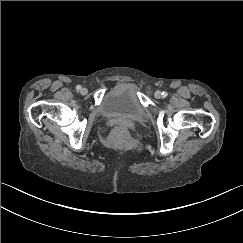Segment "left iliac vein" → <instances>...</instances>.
Segmentation results:
<instances>
[{
  "mask_svg": "<svg viewBox=\"0 0 243 243\" xmlns=\"http://www.w3.org/2000/svg\"><path fill=\"white\" fill-rule=\"evenodd\" d=\"M154 96H155V98L160 99L162 97L161 91H156Z\"/></svg>",
  "mask_w": 243,
  "mask_h": 243,
  "instance_id": "4c4485c4",
  "label": "left iliac vein"
}]
</instances>
